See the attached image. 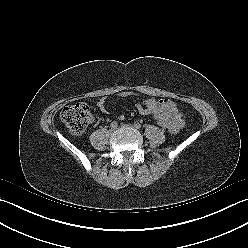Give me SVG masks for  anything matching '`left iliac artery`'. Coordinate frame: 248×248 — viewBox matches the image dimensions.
<instances>
[{
    "instance_id": "left-iliac-artery-1",
    "label": "left iliac artery",
    "mask_w": 248,
    "mask_h": 248,
    "mask_svg": "<svg viewBox=\"0 0 248 248\" xmlns=\"http://www.w3.org/2000/svg\"><path fill=\"white\" fill-rule=\"evenodd\" d=\"M134 126H135L137 129H140V128H141V124H139V123H135Z\"/></svg>"
}]
</instances>
